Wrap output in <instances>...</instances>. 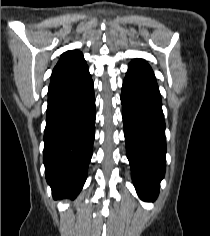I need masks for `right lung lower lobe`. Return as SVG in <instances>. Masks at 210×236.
<instances>
[{
  "mask_svg": "<svg viewBox=\"0 0 210 236\" xmlns=\"http://www.w3.org/2000/svg\"><path fill=\"white\" fill-rule=\"evenodd\" d=\"M93 81L85 63L51 77L44 133L45 174L53 196L76 197L92 157Z\"/></svg>",
  "mask_w": 210,
  "mask_h": 236,
  "instance_id": "1",
  "label": "right lung lower lobe"
}]
</instances>
